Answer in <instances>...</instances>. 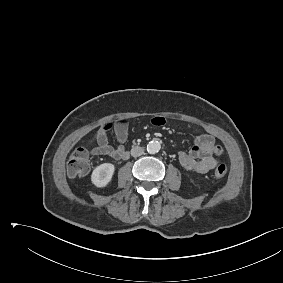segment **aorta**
Instances as JSON below:
<instances>
[{
    "mask_svg": "<svg viewBox=\"0 0 283 283\" xmlns=\"http://www.w3.org/2000/svg\"><path fill=\"white\" fill-rule=\"evenodd\" d=\"M161 148V145L158 141H150L147 145V151L151 154L158 152Z\"/></svg>",
    "mask_w": 283,
    "mask_h": 283,
    "instance_id": "obj_1",
    "label": "aorta"
}]
</instances>
